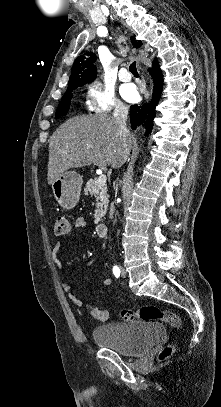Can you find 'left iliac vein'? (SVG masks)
Here are the masks:
<instances>
[{"label": "left iliac vein", "mask_w": 221, "mask_h": 407, "mask_svg": "<svg viewBox=\"0 0 221 407\" xmlns=\"http://www.w3.org/2000/svg\"><path fill=\"white\" fill-rule=\"evenodd\" d=\"M121 275H122V277H126V275H127V273L123 267L121 268Z\"/></svg>", "instance_id": "obj_1"}]
</instances>
